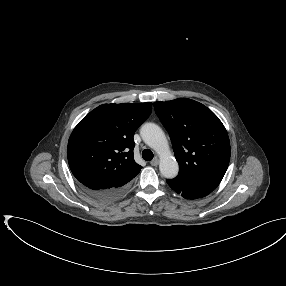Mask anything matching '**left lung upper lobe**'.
Returning <instances> with one entry per match:
<instances>
[{"label": "left lung upper lobe", "instance_id": "left-lung-upper-lobe-1", "mask_svg": "<svg viewBox=\"0 0 286 286\" xmlns=\"http://www.w3.org/2000/svg\"><path fill=\"white\" fill-rule=\"evenodd\" d=\"M179 163L176 178L215 189L230 161V142L219 118L206 106L187 98L155 102Z\"/></svg>", "mask_w": 286, "mask_h": 286}]
</instances>
